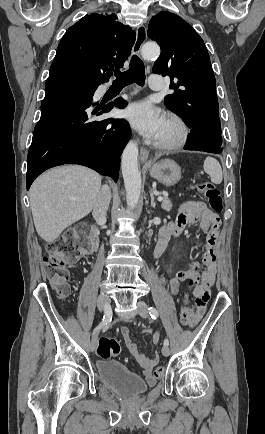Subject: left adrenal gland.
Masks as SVG:
<instances>
[{
  "label": "left adrenal gland",
  "instance_id": "left-adrenal-gland-1",
  "mask_svg": "<svg viewBox=\"0 0 265 434\" xmlns=\"http://www.w3.org/2000/svg\"><path fill=\"white\" fill-rule=\"evenodd\" d=\"M150 196H151V206H152V208H155L156 204L154 202V196H153L152 192H150Z\"/></svg>",
  "mask_w": 265,
  "mask_h": 434
}]
</instances>
